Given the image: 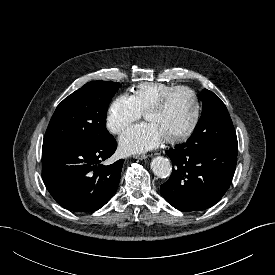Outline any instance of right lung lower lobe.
<instances>
[{
	"instance_id": "obj_1",
	"label": "right lung lower lobe",
	"mask_w": 275,
	"mask_h": 275,
	"mask_svg": "<svg viewBox=\"0 0 275 275\" xmlns=\"http://www.w3.org/2000/svg\"><path fill=\"white\" fill-rule=\"evenodd\" d=\"M117 148L111 135L98 144L50 143L42 147V179L54 200L73 212H93L115 192L123 159L101 162Z\"/></svg>"
}]
</instances>
